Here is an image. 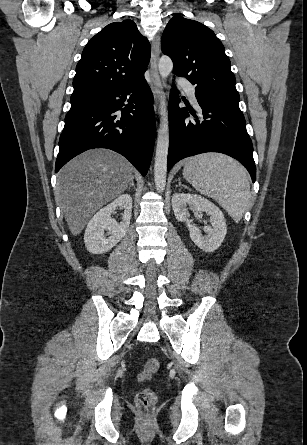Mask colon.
Returning a JSON list of instances; mask_svg holds the SVG:
<instances>
[{"label":"colon","mask_w":307,"mask_h":445,"mask_svg":"<svg viewBox=\"0 0 307 445\" xmlns=\"http://www.w3.org/2000/svg\"><path fill=\"white\" fill-rule=\"evenodd\" d=\"M158 367L159 362L157 359L151 358L147 360L144 367L138 374V380L140 382L149 380L157 371ZM156 400V393L149 388L141 389L136 396L137 405L145 410L151 409L155 405Z\"/></svg>","instance_id":"5ec220e1"}]
</instances>
